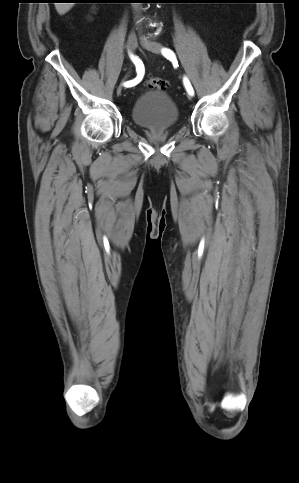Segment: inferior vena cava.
I'll use <instances>...</instances> for the list:
<instances>
[{
	"label": "inferior vena cava",
	"mask_w": 299,
	"mask_h": 483,
	"mask_svg": "<svg viewBox=\"0 0 299 483\" xmlns=\"http://www.w3.org/2000/svg\"><path fill=\"white\" fill-rule=\"evenodd\" d=\"M139 5H140L139 3H134V4H133V8H134V10L138 11V9H139Z\"/></svg>",
	"instance_id": "1"
}]
</instances>
